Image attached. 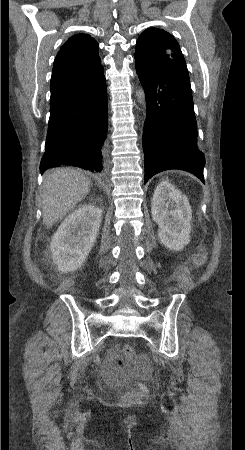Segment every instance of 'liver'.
Segmentation results:
<instances>
[{"label":"liver","instance_id":"liver-1","mask_svg":"<svg viewBox=\"0 0 245 450\" xmlns=\"http://www.w3.org/2000/svg\"><path fill=\"white\" fill-rule=\"evenodd\" d=\"M92 186L89 178L71 168L46 173L42 186L43 224L49 228L85 198Z\"/></svg>","mask_w":245,"mask_h":450}]
</instances>
